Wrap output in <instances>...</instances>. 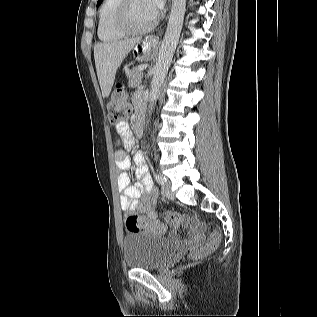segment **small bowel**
I'll return each instance as SVG.
<instances>
[{"label":"small bowel","instance_id":"1","mask_svg":"<svg viewBox=\"0 0 317 317\" xmlns=\"http://www.w3.org/2000/svg\"><path fill=\"white\" fill-rule=\"evenodd\" d=\"M136 109H140V102L134 98ZM117 143L124 149L117 150L115 153V163L120 173L117 178V186L120 192V205L124 211H134L143 214L150 221H157L156 199L157 191L153 186L152 180L147 172V168L140 152H136L133 161L136 165L137 182L132 185L129 177L131 160L127 154L135 145V138L126 121L116 125ZM200 231L197 227H192L191 238L197 240Z\"/></svg>","mask_w":317,"mask_h":317}]
</instances>
